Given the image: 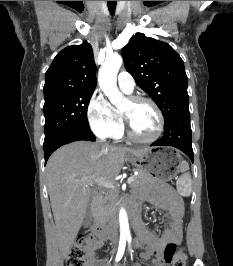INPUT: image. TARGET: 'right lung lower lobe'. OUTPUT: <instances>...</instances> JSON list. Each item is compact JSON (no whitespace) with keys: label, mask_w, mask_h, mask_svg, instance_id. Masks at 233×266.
Masks as SVG:
<instances>
[{"label":"right lung lower lobe","mask_w":233,"mask_h":266,"mask_svg":"<svg viewBox=\"0 0 233 266\" xmlns=\"http://www.w3.org/2000/svg\"><path fill=\"white\" fill-rule=\"evenodd\" d=\"M78 140L95 141V136L90 128L73 129L60 133L59 135L44 141L45 163L49 156L60 146Z\"/></svg>","instance_id":"right-lung-lower-lobe-1"}]
</instances>
